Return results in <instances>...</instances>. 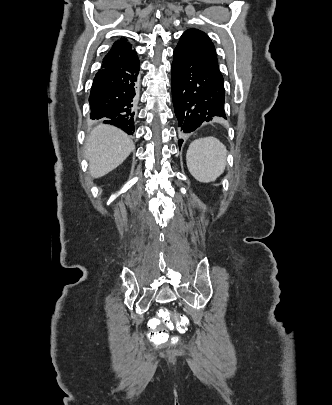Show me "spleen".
Masks as SVG:
<instances>
[{
	"label": "spleen",
	"instance_id": "obj_1",
	"mask_svg": "<svg viewBox=\"0 0 332 405\" xmlns=\"http://www.w3.org/2000/svg\"><path fill=\"white\" fill-rule=\"evenodd\" d=\"M226 155V146L217 138H200L188 148L187 167L197 181L214 182L225 171Z\"/></svg>",
	"mask_w": 332,
	"mask_h": 405
}]
</instances>
